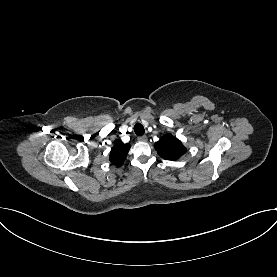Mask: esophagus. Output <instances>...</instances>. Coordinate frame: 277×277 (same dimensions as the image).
<instances>
[{
	"label": "esophagus",
	"instance_id": "34e87169",
	"mask_svg": "<svg viewBox=\"0 0 277 277\" xmlns=\"http://www.w3.org/2000/svg\"><path fill=\"white\" fill-rule=\"evenodd\" d=\"M138 141H140V142H146L147 141V136H140V137H138Z\"/></svg>",
	"mask_w": 277,
	"mask_h": 277
}]
</instances>
